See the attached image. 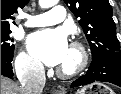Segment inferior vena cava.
I'll return each mask as SVG.
<instances>
[{"label": "inferior vena cava", "mask_w": 121, "mask_h": 94, "mask_svg": "<svg viewBox=\"0 0 121 94\" xmlns=\"http://www.w3.org/2000/svg\"><path fill=\"white\" fill-rule=\"evenodd\" d=\"M21 94H42L45 86V70L42 65L24 64L17 69Z\"/></svg>", "instance_id": "inferior-vena-cava-1"}]
</instances>
